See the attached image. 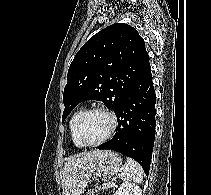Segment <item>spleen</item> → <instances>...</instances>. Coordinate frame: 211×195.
<instances>
[{"instance_id": "3e777b00", "label": "spleen", "mask_w": 211, "mask_h": 195, "mask_svg": "<svg viewBox=\"0 0 211 195\" xmlns=\"http://www.w3.org/2000/svg\"><path fill=\"white\" fill-rule=\"evenodd\" d=\"M120 176L124 180L139 183L143 178V169L135 160L127 158L125 165L120 169Z\"/></svg>"}]
</instances>
